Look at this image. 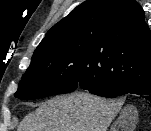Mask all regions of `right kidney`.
Returning a JSON list of instances; mask_svg holds the SVG:
<instances>
[{
	"label": "right kidney",
	"instance_id": "obj_1",
	"mask_svg": "<svg viewBox=\"0 0 151 131\" xmlns=\"http://www.w3.org/2000/svg\"><path fill=\"white\" fill-rule=\"evenodd\" d=\"M122 118L121 117L117 122L114 123L113 127H112V131H117L118 128H122V130L124 131H133L134 129V125H130L129 127H123V122H122ZM126 118L131 122L132 120H134L133 116H129L127 115ZM131 124V123H130Z\"/></svg>",
	"mask_w": 151,
	"mask_h": 131
}]
</instances>
